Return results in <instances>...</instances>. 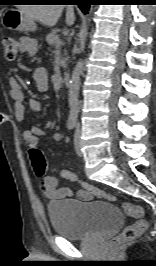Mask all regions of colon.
<instances>
[{
    "label": "colon",
    "instance_id": "obj_1",
    "mask_svg": "<svg viewBox=\"0 0 156 266\" xmlns=\"http://www.w3.org/2000/svg\"><path fill=\"white\" fill-rule=\"evenodd\" d=\"M2 47L4 56L7 60H14L18 53V44L16 40L11 36H6L2 40ZM29 154L32 162L33 169L37 176H44L49 172L58 173L62 178L71 182L78 183L83 190L88 192L92 196L106 199L109 201H116V197L106 192L105 190L92 185L82 180L77 174L66 169L51 168L43 154L38 147H32L29 149ZM124 213L136 221L123 229V231L111 241L110 248L124 242H129L139 237L147 228V222L144 217V209L139 205L132 204L130 202L122 203Z\"/></svg>",
    "mask_w": 156,
    "mask_h": 266
}]
</instances>
